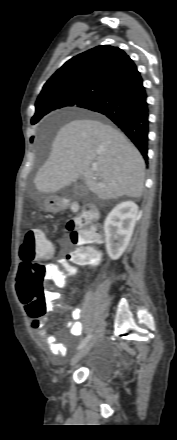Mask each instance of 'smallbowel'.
I'll return each mask as SVG.
<instances>
[{
	"label": "small bowel",
	"instance_id": "obj_1",
	"mask_svg": "<svg viewBox=\"0 0 177 440\" xmlns=\"http://www.w3.org/2000/svg\"><path fill=\"white\" fill-rule=\"evenodd\" d=\"M65 264L66 263L64 261L49 264L51 267V279L56 284L63 285L66 282V277H63L60 274V269ZM48 299L51 302L48 307L49 311H54L59 308L58 305V301L60 300L59 293L53 291L49 292ZM81 316H82V309L80 307H76L72 309L71 318L65 322L66 328L69 330L71 335L75 337H79L83 333V326L82 323L80 322ZM45 322H46V318L44 317H33L32 328L41 337V339L47 343L50 352L55 357L64 356L67 351L66 346L62 343H59L56 337L53 334H51L47 329L44 328Z\"/></svg>",
	"mask_w": 177,
	"mask_h": 440
}]
</instances>
